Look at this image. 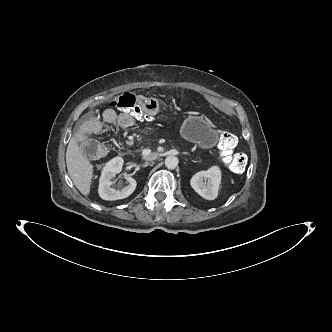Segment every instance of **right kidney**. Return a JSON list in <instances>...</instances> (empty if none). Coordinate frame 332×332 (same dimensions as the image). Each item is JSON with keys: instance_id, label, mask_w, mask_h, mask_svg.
Wrapping results in <instances>:
<instances>
[{"instance_id": "1", "label": "right kidney", "mask_w": 332, "mask_h": 332, "mask_svg": "<svg viewBox=\"0 0 332 332\" xmlns=\"http://www.w3.org/2000/svg\"><path fill=\"white\" fill-rule=\"evenodd\" d=\"M123 159L121 157H115L112 160L108 161L101 173L99 179V196L103 200H118L124 199L130 196L136 189L137 183L136 180L129 175H125L124 178L129 182V185L122 188L121 190H116L111 188V179L115 177L116 174L120 173L123 166Z\"/></svg>"}]
</instances>
